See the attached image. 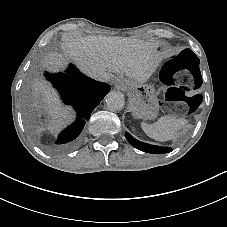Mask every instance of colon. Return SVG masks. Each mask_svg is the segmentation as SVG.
<instances>
[{
	"label": "colon",
	"mask_w": 227,
	"mask_h": 227,
	"mask_svg": "<svg viewBox=\"0 0 227 227\" xmlns=\"http://www.w3.org/2000/svg\"><path fill=\"white\" fill-rule=\"evenodd\" d=\"M157 52L165 55L164 46ZM161 105L170 113H191L199 105L200 96L192 92L200 86L199 59L190 50L167 56L159 63Z\"/></svg>",
	"instance_id": "obj_1"
}]
</instances>
